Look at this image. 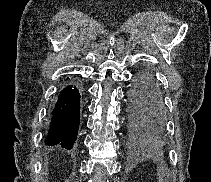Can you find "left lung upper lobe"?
<instances>
[{
    "label": "left lung upper lobe",
    "instance_id": "5c2ea615",
    "mask_svg": "<svg viewBox=\"0 0 211 182\" xmlns=\"http://www.w3.org/2000/svg\"><path fill=\"white\" fill-rule=\"evenodd\" d=\"M131 114H132L133 119H135V121H136L137 123L143 125V126L148 130L149 133H152V131L150 130V128H149L146 124H144V123L137 117V115H136V110L134 109V107H131ZM152 134H153V133H152Z\"/></svg>",
    "mask_w": 211,
    "mask_h": 182
}]
</instances>
